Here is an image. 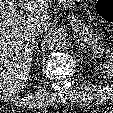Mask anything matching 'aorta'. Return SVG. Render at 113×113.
I'll return each mask as SVG.
<instances>
[{
  "mask_svg": "<svg viewBox=\"0 0 113 113\" xmlns=\"http://www.w3.org/2000/svg\"><path fill=\"white\" fill-rule=\"evenodd\" d=\"M46 45L51 50H60L66 45V34L61 31L50 34L47 38Z\"/></svg>",
  "mask_w": 113,
  "mask_h": 113,
  "instance_id": "1",
  "label": "aorta"
}]
</instances>
